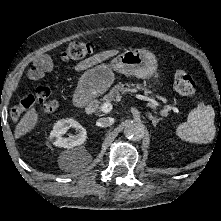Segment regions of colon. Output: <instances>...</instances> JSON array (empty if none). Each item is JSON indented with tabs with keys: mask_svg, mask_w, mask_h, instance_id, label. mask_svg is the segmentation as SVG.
<instances>
[{
	"mask_svg": "<svg viewBox=\"0 0 221 221\" xmlns=\"http://www.w3.org/2000/svg\"><path fill=\"white\" fill-rule=\"evenodd\" d=\"M94 46L87 42H72L62 53L64 61L80 60L92 54ZM175 89L187 97L196 96V83L185 71L175 74ZM39 106L45 115H52L58 108V102L51 96L47 87L40 86L33 93L25 95L10 111L13 120H18L25 112L34 106Z\"/></svg>",
	"mask_w": 221,
	"mask_h": 221,
	"instance_id": "5ec220e1",
	"label": "colon"
}]
</instances>
